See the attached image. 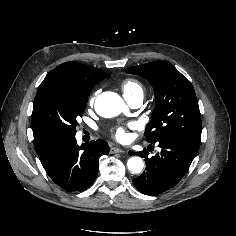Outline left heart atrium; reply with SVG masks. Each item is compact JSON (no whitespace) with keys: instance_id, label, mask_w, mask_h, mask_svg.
<instances>
[{"instance_id":"39dd6f15","label":"left heart atrium","mask_w":236,"mask_h":236,"mask_svg":"<svg viewBox=\"0 0 236 236\" xmlns=\"http://www.w3.org/2000/svg\"><path fill=\"white\" fill-rule=\"evenodd\" d=\"M129 126L133 127V124H129ZM113 134H114L115 138L121 142L127 140V138H128L126 128L122 127V126L115 128L113 131Z\"/></svg>"}]
</instances>
